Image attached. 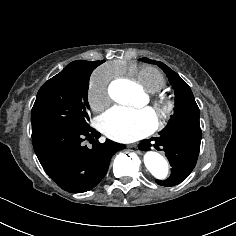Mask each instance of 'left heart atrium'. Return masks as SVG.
I'll use <instances>...</instances> for the list:
<instances>
[{
  "instance_id": "obj_1",
  "label": "left heart atrium",
  "mask_w": 236,
  "mask_h": 236,
  "mask_svg": "<svg viewBox=\"0 0 236 236\" xmlns=\"http://www.w3.org/2000/svg\"><path fill=\"white\" fill-rule=\"evenodd\" d=\"M156 115L151 108L115 106L100 118V128L109 138L132 142L148 135L155 128Z\"/></svg>"
}]
</instances>
